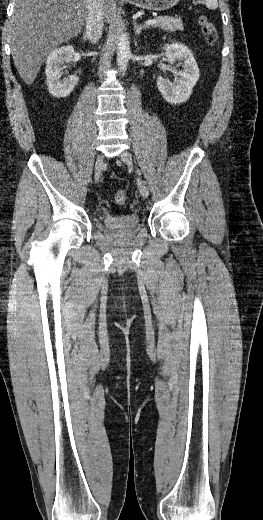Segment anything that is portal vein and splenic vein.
I'll list each match as a JSON object with an SVG mask.
<instances>
[{
  "instance_id": "18ae733b",
  "label": "portal vein and splenic vein",
  "mask_w": 263,
  "mask_h": 520,
  "mask_svg": "<svg viewBox=\"0 0 263 520\" xmlns=\"http://www.w3.org/2000/svg\"><path fill=\"white\" fill-rule=\"evenodd\" d=\"M65 18L67 19L68 17L66 16ZM155 23H157L156 19H150V20L146 21V24H148V25L155 24Z\"/></svg>"
}]
</instances>
